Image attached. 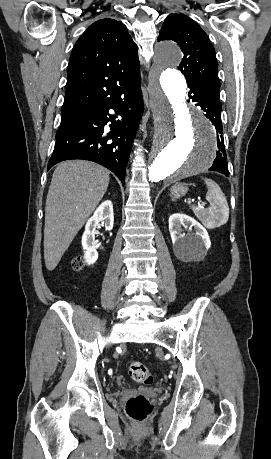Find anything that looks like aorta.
<instances>
[{
    "instance_id": "762f6f07",
    "label": "aorta",
    "mask_w": 271,
    "mask_h": 459,
    "mask_svg": "<svg viewBox=\"0 0 271 459\" xmlns=\"http://www.w3.org/2000/svg\"><path fill=\"white\" fill-rule=\"evenodd\" d=\"M182 52L172 42L156 47L149 79L155 131L148 178L151 182L193 176L206 171L216 157V133L204 114L186 103L187 84L176 69Z\"/></svg>"
}]
</instances>
